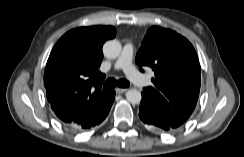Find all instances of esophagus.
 <instances>
[{"label": "esophagus", "mask_w": 244, "mask_h": 157, "mask_svg": "<svg viewBox=\"0 0 244 157\" xmlns=\"http://www.w3.org/2000/svg\"><path fill=\"white\" fill-rule=\"evenodd\" d=\"M128 89L127 88H116L115 91L118 94H122L124 92H126Z\"/></svg>", "instance_id": "34e87169"}]
</instances>
